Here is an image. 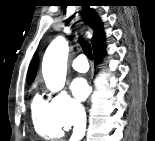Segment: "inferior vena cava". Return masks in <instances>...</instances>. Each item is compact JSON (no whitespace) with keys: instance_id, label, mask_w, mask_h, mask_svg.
<instances>
[{"instance_id":"602c4592","label":"inferior vena cava","mask_w":155,"mask_h":141,"mask_svg":"<svg viewBox=\"0 0 155 141\" xmlns=\"http://www.w3.org/2000/svg\"><path fill=\"white\" fill-rule=\"evenodd\" d=\"M86 114L83 110L79 113V118L74 125L73 134L70 141H79L85 134Z\"/></svg>"}]
</instances>
